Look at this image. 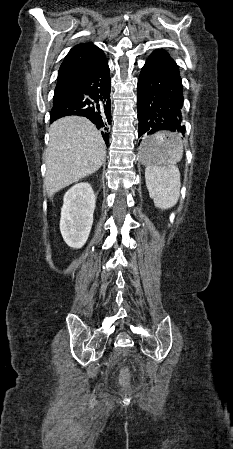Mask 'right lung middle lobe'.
Listing matches in <instances>:
<instances>
[{"label": "right lung middle lobe", "mask_w": 233, "mask_h": 449, "mask_svg": "<svg viewBox=\"0 0 233 449\" xmlns=\"http://www.w3.org/2000/svg\"><path fill=\"white\" fill-rule=\"evenodd\" d=\"M61 96H62V92L59 90H55L54 100L60 98Z\"/></svg>", "instance_id": "dd1d6c3e"}]
</instances>
